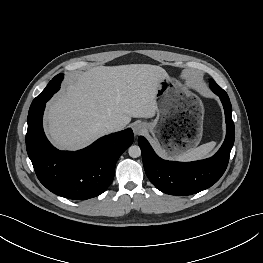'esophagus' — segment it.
<instances>
[{"mask_svg": "<svg viewBox=\"0 0 263 263\" xmlns=\"http://www.w3.org/2000/svg\"><path fill=\"white\" fill-rule=\"evenodd\" d=\"M144 129H145L144 124L141 122H135L132 125V130H133L135 135L141 134L144 131Z\"/></svg>", "mask_w": 263, "mask_h": 263, "instance_id": "obj_1", "label": "esophagus"}]
</instances>
